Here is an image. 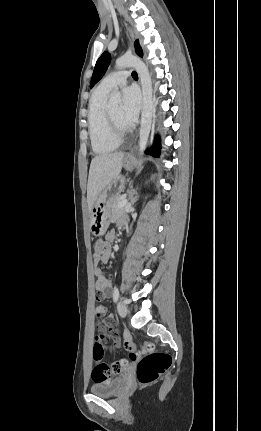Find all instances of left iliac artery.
I'll return each instance as SVG.
<instances>
[{
	"instance_id": "1",
	"label": "left iliac artery",
	"mask_w": 261,
	"mask_h": 431,
	"mask_svg": "<svg viewBox=\"0 0 261 431\" xmlns=\"http://www.w3.org/2000/svg\"><path fill=\"white\" fill-rule=\"evenodd\" d=\"M118 298H119V290L118 288H116L114 291V297H113L114 302H117Z\"/></svg>"
}]
</instances>
